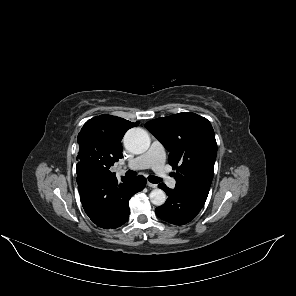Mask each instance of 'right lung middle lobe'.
Returning a JSON list of instances; mask_svg holds the SVG:
<instances>
[{
  "mask_svg": "<svg viewBox=\"0 0 296 296\" xmlns=\"http://www.w3.org/2000/svg\"><path fill=\"white\" fill-rule=\"evenodd\" d=\"M77 160L86 163L96 174L108 177L111 164L99 150L93 147L79 149Z\"/></svg>",
  "mask_w": 296,
  "mask_h": 296,
  "instance_id": "dd1d6c3e",
  "label": "right lung middle lobe"
}]
</instances>
